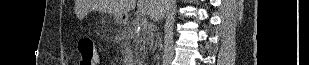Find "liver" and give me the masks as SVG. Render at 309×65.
I'll list each match as a JSON object with an SVG mask.
<instances>
[{"instance_id": "1", "label": "liver", "mask_w": 309, "mask_h": 65, "mask_svg": "<svg viewBox=\"0 0 309 65\" xmlns=\"http://www.w3.org/2000/svg\"><path fill=\"white\" fill-rule=\"evenodd\" d=\"M137 8L139 13L149 15L152 20H160L166 9V3L162 0H96L88 3L80 1V7L84 10L93 9L100 12L115 14H126Z\"/></svg>"}]
</instances>
